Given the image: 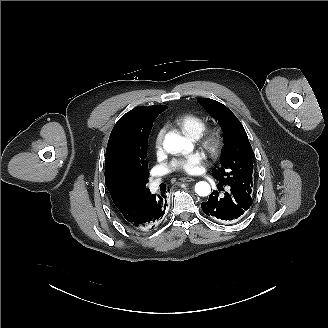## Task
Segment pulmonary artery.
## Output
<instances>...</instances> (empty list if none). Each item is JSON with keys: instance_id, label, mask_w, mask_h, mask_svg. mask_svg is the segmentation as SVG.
<instances>
[{"instance_id": "1", "label": "pulmonary artery", "mask_w": 328, "mask_h": 328, "mask_svg": "<svg viewBox=\"0 0 328 328\" xmlns=\"http://www.w3.org/2000/svg\"><path fill=\"white\" fill-rule=\"evenodd\" d=\"M158 183H159V180H158V179H152V180H151V185H152L153 187H156V186L158 185Z\"/></svg>"}]
</instances>
